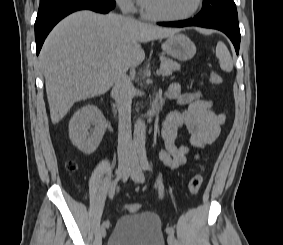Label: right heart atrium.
Instances as JSON below:
<instances>
[{"instance_id": "d8ad5b80", "label": "right heart atrium", "mask_w": 283, "mask_h": 245, "mask_svg": "<svg viewBox=\"0 0 283 245\" xmlns=\"http://www.w3.org/2000/svg\"><path fill=\"white\" fill-rule=\"evenodd\" d=\"M118 6L125 12H133L136 8L135 0H115Z\"/></svg>"}]
</instances>
